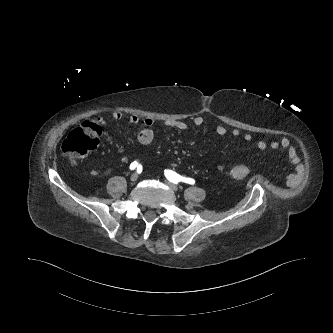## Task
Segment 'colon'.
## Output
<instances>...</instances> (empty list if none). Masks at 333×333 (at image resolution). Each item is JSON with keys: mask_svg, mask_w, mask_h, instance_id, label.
Returning <instances> with one entry per match:
<instances>
[{"mask_svg": "<svg viewBox=\"0 0 333 333\" xmlns=\"http://www.w3.org/2000/svg\"><path fill=\"white\" fill-rule=\"evenodd\" d=\"M103 131V120L94 118L85 120L73 130L62 143V152L71 164L94 150ZM249 174V169L243 164L233 165L230 175L235 180H242Z\"/></svg>", "mask_w": 333, "mask_h": 333, "instance_id": "1", "label": "colon"}]
</instances>
